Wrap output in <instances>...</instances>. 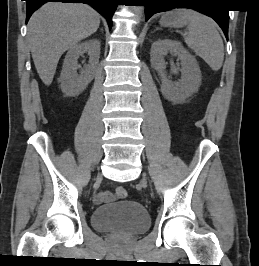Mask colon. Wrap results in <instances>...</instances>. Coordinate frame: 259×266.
Wrapping results in <instances>:
<instances>
[{"label":"colon","mask_w":259,"mask_h":266,"mask_svg":"<svg viewBox=\"0 0 259 266\" xmlns=\"http://www.w3.org/2000/svg\"><path fill=\"white\" fill-rule=\"evenodd\" d=\"M115 194L119 199H123L127 196V190L124 187L119 186L116 188Z\"/></svg>","instance_id":"obj_1"}]
</instances>
